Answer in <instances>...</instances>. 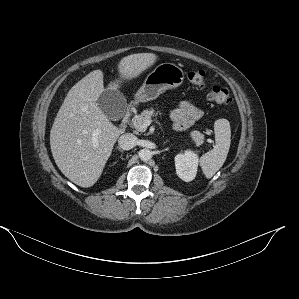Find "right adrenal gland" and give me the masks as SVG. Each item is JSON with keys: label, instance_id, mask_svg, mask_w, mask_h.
Instances as JSON below:
<instances>
[{"label": "right adrenal gland", "instance_id": "2a0ac1e0", "mask_svg": "<svg viewBox=\"0 0 299 299\" xmlns=\"http://www.w3.org/2000/svg\"><path fill=\"white\" fill-rule=\"evenodd\" d=\"M121 153H123V150L120 147H116Z\"/></svg>", "mask_w": 299, "mask_h": 299}]
</instances>
